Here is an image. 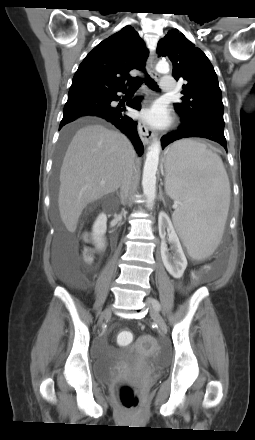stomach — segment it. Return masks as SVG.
<instances>
[{"instance_id": "obj_1", "label": "stomach", "mask_w": 255, "mask_h": 440, "mask_svg": "<svg viewBox=\"0 0 255 440\" xmlns=\"http://www.w3.org/2000/svg\"><path fill=\"white\" fill-rule=\"evenodd\" d=\"M170 151H169V153L167 154V157H166V164L169 162V158H170Z\"/></svg>"}]
</instances>
